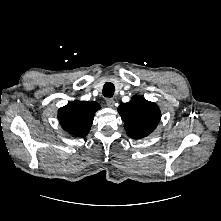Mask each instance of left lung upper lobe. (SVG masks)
<instances>
[{"label": "left lung upper lobe", "instance_id": "1", "mask_svg": "<svg viewBox=\"0 0 221 221\" xmlns=\"http://www.w3.org/2000/svg\"><path fill=\"white\" fill-rule=\"evenodd\" d=\"M118 112L127 134L133 139L148 136L161 118L158 106L139 95L132 97L128 103H121Z\"/></svg>", "mask_w": 221, "mask_h": 221}]
</instances>
